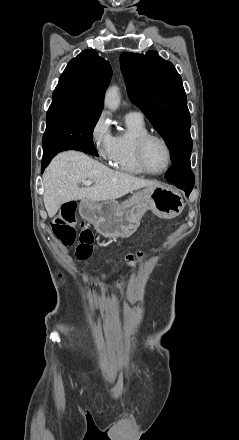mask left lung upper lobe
Wrapping results in <instances>:
<instances>
[{"label":"left lung upper lobe","instance_id":"1","mask_svg":"<svg viewBox=\"0 0 239 440\" xmlns=\"http://www.w3.org/2000/svg\"><path fill=\"white\" fill-rule=\"evenodd\" d=\"M120 63L130 100L166 141L172 162L190 156L191 118L182 79L174 65L155 51L145 55L124 52Z\"/></svg>","mask_w":239,"mask_h":440}]
</instances>
